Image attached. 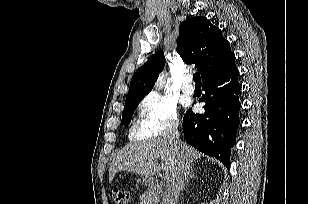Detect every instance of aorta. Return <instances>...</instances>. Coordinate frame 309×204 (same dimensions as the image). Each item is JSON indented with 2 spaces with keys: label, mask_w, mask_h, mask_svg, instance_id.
I'll list each match as a JSON object with an SVG mask.
<instances>
[{
  "label": "aorta",
  "mask_w": 309,
  "mask_h": 204,
  "mask_svg": "<svg viewBox=\"0 0 309 204\" xmlns=\"http://www.w3.org/2000/svg\"><path fill=\"white\" fill-rule=\"evenodd\" d=\"M164 73H162L160 75V77L158 78L156 84H155V88L157 89H161L164 86Z\"/></svg>",
  "instance_id": "aorta-1"
}]
</instances>
